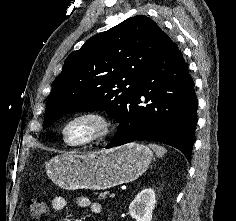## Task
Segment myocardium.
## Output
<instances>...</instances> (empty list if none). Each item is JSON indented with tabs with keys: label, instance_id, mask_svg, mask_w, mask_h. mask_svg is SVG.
Wrapping results in <instances>:
<instances>
[{
	"label": "myocardium",
	"instance_id": "1",
	"mask_svg": "<svg viewBox=\"0 0 236 221\" xmlns=\"http://www.w3.org/2000/svg\"><path fill=\"white\" fill-rule=\"evenodd\" d=\"M84 119H90L95 121L98 124V131L87 140L77 143L69 142L66 138V131L68 127L72 123ZM113 130H114V123L107 114L98 110H88L79 112L71 116L69 119H67L60 129V135L62 141L66 146L72 148H82L105 140L112 134Z\"/></svg>",
	"mask_w": 236,
	"mask_h": 221
}]
</instances>
